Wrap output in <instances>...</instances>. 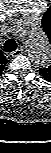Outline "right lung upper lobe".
Here are the masks:
<instances>
[{
	"instance_id": "right-lung-upper-lobe-1",
	"label": "right lung upper lobe",
	"mask_w": 51,
	"mask_h": 153,
	"mask_svg": "<svg viewBox=\"0 0 51 153\" xmlns=\"http://www.w3.org/2000/svg\"><path fill=\"white\" fill-rule=\"evenodd\" d=\"M6 63H7V60L5 59L4 55L2 54V52L0 50V75H1V72L3 71Z\"/></svg>"
}]
</instances>
